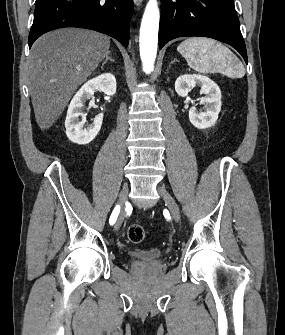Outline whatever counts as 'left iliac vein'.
I'll return each instance as SVG.
<instances>
[{"mask_svg":"<svg viewBox=\"0 0 285 335\" xmlns=\"http://www.w3.org/2000/svg\"><path fill=\"white\" fill-rule=\"evenodd\" d=\"M157 191L161 195V197L165 201V203L167 204V207L169 208V210L171 212L172 218L175 221H179L180 220V211H179V208H178L176 202L172 198V196L162 186H159Z\"/></svg>","mask_w":285,"mask_h":335,"instance_id":"1","label":"left iliac vein"}]
</instances>
